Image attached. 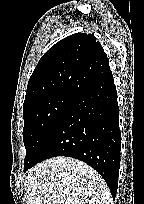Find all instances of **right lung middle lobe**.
Returning <instances> with one entry per match:
<instances>
[{"instance_id":"right-lung-middle-lobe-1","label":"right lung middle lobe","mask_w":144,"mask_h":204,"mask_svg":"<svg viewBox=\"0 0 144 204\" xmlns=\"http://www.w3.org/2000/svg\"><path fill=\"white\" fill-rule=\"evenodd\" d=\"M71 93H60L23 110V141L26 148L24 172L36 160L37 153L74 99Z\"/></svg>"}]
</instances>
